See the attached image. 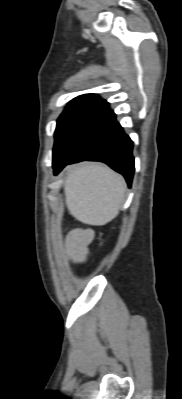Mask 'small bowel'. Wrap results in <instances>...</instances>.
I'll return each instance as SVG.
<instances>
[{
  "label": "small bowel",
  "instance_id": "small-bowel-1",
  "mask_svg": "<svg viewBox=\"0 0 182 399\" xmlns=\"http://www.w3.org/2000/svg\"><path fill=\"white\" fill-rule=\"evenodd\" d=\"M93 239L94 231L91 228H77L71 230L66 237L63 247L67 259L74 264L85 263Z\"/></svg>",
  "mask_w": 182,
  "mask_h": 399
}]
</instances>
